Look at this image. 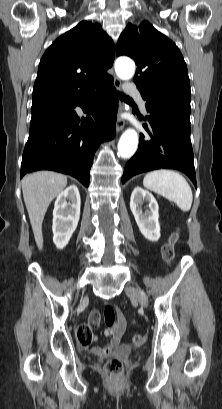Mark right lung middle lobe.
Wrapping results in <instances>:
<instances>
[{
	"label": "right lung middle lobe",
	"instance_id": "right-lung-middle-lobe-1",
	"mask_svg": "<svg viewBox=\"0 0 222 409\" xmlns=\"http://www.w3.org/2000/svg\"><path fill=\"white\" fill-rule=\"evenodd\" d=\"M38 110H41V109L32 108V112H35V111H38Z\"/></svg>",
	"mask_w": 222,
	"mask_h": 409
}]
</instances>
